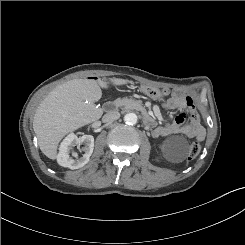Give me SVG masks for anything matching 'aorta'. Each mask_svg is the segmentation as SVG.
Masks as SVG:
<instances>
[{
    "mask_svg": "<svg viewBox=\"0 0 245 245\" xmlns=\"http://www.w3.org/2000/svg\"><path fill=\"white\" fill-rule=\"evenodd\" d=\"M138 117L135 113L130 112L125 114L124 122L128 125H135L137 123Z\"/></svg>",
    "mask_w": 245,
    "mask_h": 245,
    "instance_id": "obj_1",
    "label": "aorta"
}]
</instances>
